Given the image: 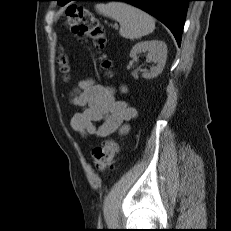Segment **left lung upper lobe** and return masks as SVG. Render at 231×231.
Segmentation results:
<instances>
[{
	"mask_svg": "<svg viewBox=\"0 0 231 231\" xmlns=\"http://www.w3.org/2000/svg\"><path fill=\"white\" fill-rule=\"evenodd\" d=\"M55 1H58L59 5H61L64 0H55Z\"/></svg>",
	"mask_w": 231,
	"mask_h": 231,
	"instance_id": "5c2ea615",
	"label": "left lung upper lobe"
}]
</instances>
